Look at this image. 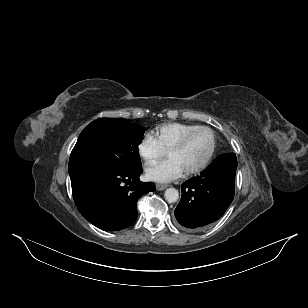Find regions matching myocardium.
I'll use <instances>...</instances> for the list:
<instances>
[{"label":"myocardium","mask_w":308,"mask_h":308,"mask_svg":"<svg viewBox=\"0 0 308 308\" xmlns=\"http://www.w3.org/2000/svg\"><path fill=\"white\" fill-rule=\"evenodd\" d=\"M199 131H208L213 138V144H212V148L208 154V156L206 157V159L199 164L198 166L188 169L185 171V173L187 175H193V174H197L202 172L203 170H205L209 164L211 163V161L213 160L216 150H217V144H218V140H217V135L215 133V131L207 126H198L188 132H186L178 141H176L173 145H171L167 152L172 151V150H179L181 148H183L185 146V144L188 142V140L197 132Z\"/></svg>","instance_id":"f54148a6"}]
</instances>
